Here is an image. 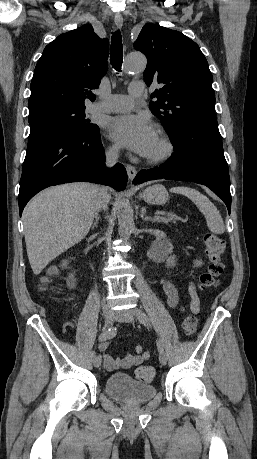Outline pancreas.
Returning <instances> with one entry per match:
<instances>
[{"instance_id":"pancreas-1","label":"pancreas","mask_w":257,"mask_h":459,"mask_svg":"<svg viewBox=\"0 0 257 459\" xmlns=\"http://www.w3.org/2000/svg\"><path fill=\"white\" fill-rule=\"evenodd\" d=\"M161 213L164 214V212H161ZM177 219H179V218H178L176 215H169L168 218L165 219L163 222H164V223H168V222L171 221V220H177Z\"/></svg>"}]
</instances>
